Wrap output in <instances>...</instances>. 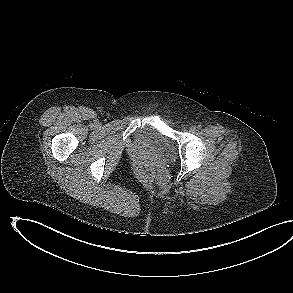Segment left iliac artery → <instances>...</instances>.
<instances>
[{"label": "left iliac artery", "instance_id": "44dca946", "mask_svg": "<svg viewBox=\"0 0 293 293\" xmlns=\"http://www.w3.org/2000/svg\"><path fill=\"white\" fill-rule=\"evenodd\" d=\"M197 128H198V129H201V128H202V125L199 124V125L197 126Z\"/></svg>", "mask_w": 293, "mask_h": 293}]
</instances>
